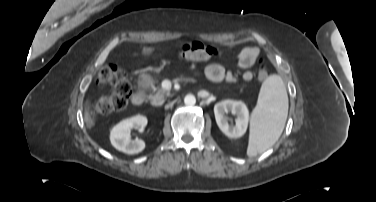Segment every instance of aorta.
I'll use <instances>...</instances> for the list:
<instances>
[{
  "mask_svg": "<svg viewBox=\"0 0 376 202\" xmlns=\"http://www.w3.org/2000/svg\"><path fill=\"white\" fill-rule=\"evenodd\" d=\"M184 103L187 106H193V105H195V103H196L195 96L192 95V94L186 95L185 98H184Z\"/></svg>",
  "mask_w": 376,
  "mask_h": 202,
  "instance_id": "aorta-1",
  "label": "aorta"
}]
</instances>
